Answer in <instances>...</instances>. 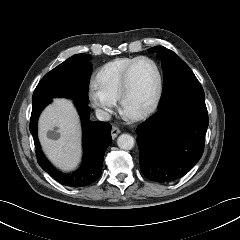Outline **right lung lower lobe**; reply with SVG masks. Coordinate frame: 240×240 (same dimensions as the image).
Instances as JSON below:
<instances>
[{
	"label": "right lung lower lobe",
	"mask_w": 240,
	"mask_h": 240,
	"mask_svg": "<svg viewBox=\"0 0 240 240\" xmlns=\"http://www.w3.org/2000/svg\"><path fill=\"white\" fill-rule=\"evenodd\" d=\"M52 98H42L33 102L30 119V131L34 139L36 157L41 168L59 183L71 187H84L95 182L101 175L104 153L112 141L111 125L103 122L89 121L88 103L74 101L83 126V163L79 170L72 173H62L55 169L43 155L38 137L37 121L43 108Z\"/></svg>",
	"instance_id": "obj_1"
}]
</instances>
